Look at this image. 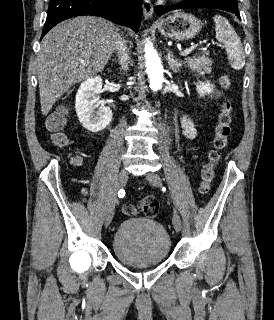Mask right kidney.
<instances>
[{
  "label": "right kidney",
  "instance_id": "1",
  "mask_svg": "<svg viewBox=\"0 0 274 320\" xmlns=\"http://www.w3.org/2000/svg\"><path fill=\"white\" fill-rule=\"evenodd\" d=\"M102 92L100 76L89 78L82 82L75 98V110L78 120L88 132H101L109 126L112 120V110L108 106H100L99 98Z\"/></svg>",
  "mask_w": 274,
  "mask_h": 320
}]
</instances>
